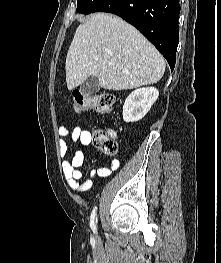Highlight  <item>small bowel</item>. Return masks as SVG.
<instances>
[{
    "label": "small bowel",
    "mask_w": 221,
    "mask_h": 263,
    "mask_svg": "<svg viewBox=\"0 0 221 263\" xmlns=\"http://www.w3.org/2000/svg\"><path fill=\"white\" fill-rule=\"evenodd\" d=\"M59 150L62 155V166L65 179L69 185V187L77 192H85L88 191L93 184V180L95 177H108L111 175L113 171L118 169L119 161L116 158H112L110 161L109 167H99L92 169L88 175V177L82 181L83 175L79 170V167L82 166L84 162V153L81 150H76L73 153L71 158L68 157V145L66 139L68 137L71 138L72 142L89 146L92 142L91 133L88 130L82 129L80 127H75L73 129H69L67 127H60L59 131ZM112 136H115V133L112 132Z\"/></svg>",
    "instance_id": "obj_1"
}]
</instances>
